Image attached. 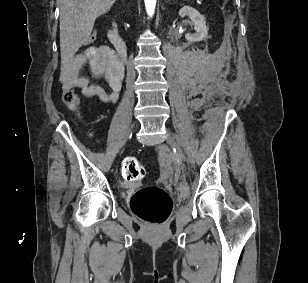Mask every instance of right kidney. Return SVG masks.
<instances>
[{
    "mask_svg": "<svg viewBox=\"0 0 308 283\" xmlns=\"http://www.w3.org/2000/svg\"><path fill=\"white\" fill-rule=\"evenodd\" d=\"M114 31L117 32V25L116 23H113Z\"/></svg>",
    "mask_w": 308,
    "mask_h": 283,
    "instance_id": "ca27d5eb",
    "label": "right kidney"
}]
</instances>
